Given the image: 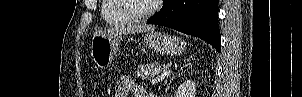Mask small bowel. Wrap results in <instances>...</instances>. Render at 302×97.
<instances>
[{
    "label": "small bowel",
    "mask_w": 302,
    "mask_h": 97,
    "mask_svg": "<svg viewBox=\"0 0 302 97\" xmlns=\"http://www.w3.org/2000/svg\"><path fill=\"white\" fill-rule=\"evenodd\" d=\"M132 93L135 97H146L144 89L136 84L128 75H122L115 86V97H127Z\"/></svg>",
    "instance_id": "small-bowel-1"
}]
</instances>
